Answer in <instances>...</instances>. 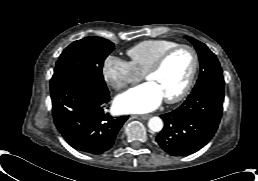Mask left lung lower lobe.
Segmentation results:
<instances>
[{"instance_id": "obj_1", "label": "left lung lower lobe", "mask_w": 258, "mask_h": 181, "mask_svg": "<svg viewBox=\"0 0 258 181\" xmlns=\"http://www.w3.org/2000/svg\"><path fill=\"white\" fill-rule=\"evenodd\" d=\"M224 87H209L189 95L176 110L162 114L163 130L156 141L168 154L186 156L197 152L214 136L223 110Z\"/></svg>"}]
</instances>
